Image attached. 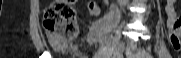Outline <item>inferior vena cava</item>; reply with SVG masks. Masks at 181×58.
Listing matches in <instances>:
<instances>
[{
  "instance_id": "obj_1",
  "label": "inferior vena cava",
  "mask_w": 181,
  "mask_h": 58,
  "mask_svg": "<svg viewBox=\"0 0 181 58\" xmlns=\"http://www.w3.org/2000/svg\"><path fill=\"white\" fill-rule=\"evenodd\" d=\"M119 4L122 5H126L128 0H118Z\"/></svg>"
}]
</instances>
